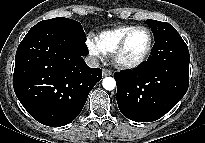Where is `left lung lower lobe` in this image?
I'll use <instances>...</instances> for the list:
<instances>
[{
    "mask_svg": "<svg viewBox=\"0 0 205 143\" xmlns=\"http://www.w3.org/2000/svg\"><path fill=\"white\" fill-rule=\"evenodd\" d=\"M189 62L188 47L177 31L157 39L147 61L114 73L121 113L137 122L164 116L187 92Z\"/></svg>",
    "mask_w": 205,
    "mask_h": 143,
    "instance_id": "0a47b994",
    "label": "left lung lower lobe"
}]
</instances>
